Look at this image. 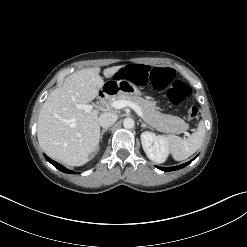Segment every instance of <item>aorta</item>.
<instances>
[{
	"label": "aorta",
	"mask_w": 247,
	"mask_h": 247,
	"mask_svg": "<svg viewBox=\"0 0 247 247\" xmlns=\"http://www.w3.org/2000/svg\"><path fill=\"white\" fill-rule=\"evenodd\" d=\"M135 125L134 120L132 118H125L123 121V126L126 129H131Z\"/></svg>",
	"instance_id": "aorta-1"
}]
</instances>
